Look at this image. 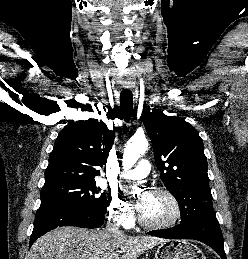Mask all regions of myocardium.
Wrapping results in <instances>:
<instances>
[{"instance_id": "1", "label": "myocardium", "mask_w": 248, "mask_h": 259, "mask_svg": "<svg viewBox=\"0 0 248 259\" xmlns=\"http://www.w3.org/2000/svg\"><path fill=\"white\" fill-rule=\"evenodd\" d=\"M151 192L162 194L170 201L173 208L172 216L166 221L152 223V222L146 221L140 214L138 217L139 224L145 228L153 229V230H162V229L173 227L180 220L182 215V210L178 199L170 190L164 187H158V186L153 187L151 189Z\"/></svg>"}]
</instances>
